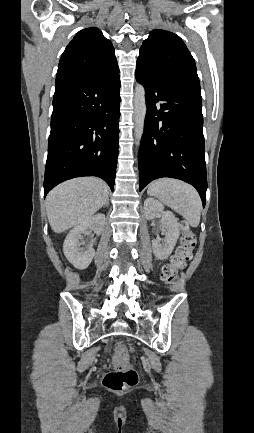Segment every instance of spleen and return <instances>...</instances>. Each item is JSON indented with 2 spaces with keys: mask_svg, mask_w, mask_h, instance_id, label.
<instances>
[{
  "mask_svg": "<svg viewBox=\"0 0 254 433\" xmlns=\"http://www.w3.org/2000/svg\"><path fill=\"white\" fill-rule=\"evenodd\" d=\"M147 193L183 216L190 226L199 225L202 203L191 185L176 179L162 178L152 182Z\"/></svg>",
  "mask_w": 254,
  "mask_h": 433,
  "instance_id": "1",
  "label": "spleen"
}]
</instances>
